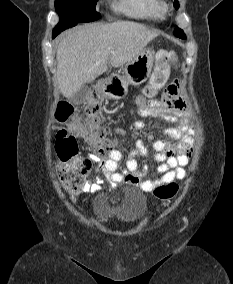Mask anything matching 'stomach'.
Returning <instances> with one entry per match:
<instances>
[{
    "mask_svg": "<svg viewBox=\"0 0 233 284\" xmlns=\"http://www.w3.org/2000/svg\"><path fill=\"white\" fill-rule=\"evenodd\" d=\"M154 61L152 49L142 50L128 62L122 73L112 74L99 83L101 93L111 99H122L128 93L129 85H140L150 77Z\"/></svg>",
    "mask_w": 233,
    "mask_h": 284,
    "instance_id": "1",
    "label": "stomach"
}]
</instances>
